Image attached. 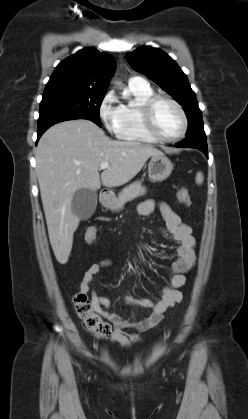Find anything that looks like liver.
Returning a JSON list of instances; mask_svg holds the SVG:
<instances>
[{"mask_svg": "<svg viewBox=\"0 0 248 419\" xmlns=\"http://www.w3.org/2000/svg\"><path fill=\"white\" fill-rule=\"evenodd\" d=\"M163 152L148 144L112 140L86 119L49 128L36 149V173L48 235L60 264L67 263L80 218L72 211L77 190L121 186L133 179L146 161ZM109 168L99 174L101 163Z\"/></svg>", "mask_w": 248, "mask_h": 419, "instance_id": "obj_1", "label": "liver"}]
</instances>
